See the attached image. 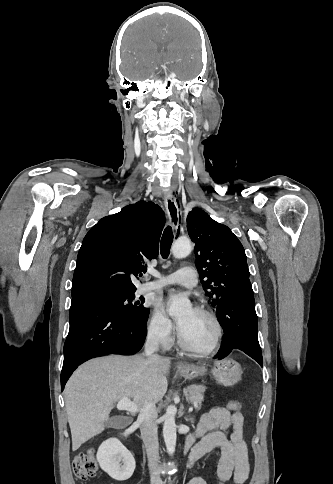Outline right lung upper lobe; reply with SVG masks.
<instances>
[{"instance_id":"1","label":"right lung upper lobe","mask_w":333,"mask_h":484,"mask_svg":"<svg viewBox=\"0 0 333 484\" xmlns=\"http://www.w3.org/2000/svg\"><path fill=\"white\" fill-rule=\"evenodd\" d=\"M164 225L161 207L142 200L100 219L83 239L72 296L99 290L135 292L133 280L158 256Z\"/></svg>"}]
</instances>
